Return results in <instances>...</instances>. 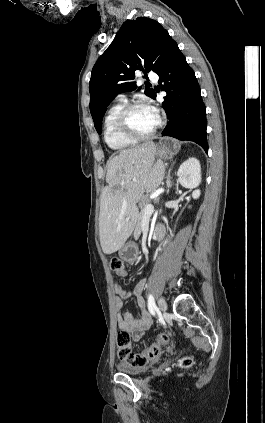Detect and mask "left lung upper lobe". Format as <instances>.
Listing matches in <instances>:
<instances>
[{
  "label": "left lung upper lobe",
  "mask_w": 265,
  "mask_h": 423,
  "mask_svg": "<svg viewBox=\"0 0 265 423\" xmlns=\"http://www.w3.org/2000/svg\"><path fill=\"white\" fill-rule=\"evenodd\" d=\"M170 39L168 32L153 19L140 17L122 25L91 74L90 112L99 134L109 103L117 94L137 88L133 81L136 70H142L145 77L146 72H157ZM145 94L153 98L155 92L148 88Z\"/></svg>",
  "instance_id": "left-lung-upper-lobe-1"
}]
</instances>
